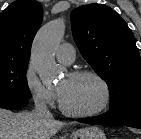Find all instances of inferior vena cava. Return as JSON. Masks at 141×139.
Instances as JSON below:
<instances>
[{
    "instance_id": "obj_1",
    "label": "inferior vena cava",
    "mask_w": 141,
    "mask_h": 139,
    "mask_svg": "<svg viewBox=\"0 0 141 139\" xmlns=\"http://www.w3.org/2000/svg\"><path fill=\"white\" fill-rule=\"evenodd\" d=\"M35 115L42 120L53 119L46 102L42 98H36L35 100Z\"/></svg>"
}]
</instances>
